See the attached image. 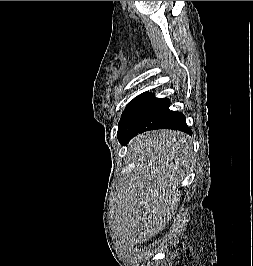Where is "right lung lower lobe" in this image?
I'll list each match as a JSON object with an SVG mask.
<instances>
[{
    "label": "right lung lower lobe",
    "instance_id": "98d812e1",
    "mask_svg": "<svg viewBox=\"0 0 253 266\" xmlns=\"http://www.w3.org/2000/svg\"><path fill=\"white\" fill-rule=\"evenodd\" d=\"M153 129H174L191 134V130L188 128L185 122V116L181 112L169 111L168 114L159 121L156 125L140 127V128H128L126 125L119 123L118 128V140L121 144H127L134 136L139 133L153 130Z\"/></svg>",
    "mask_w": 253,
    "mask_h": 266
}]
</instances>
